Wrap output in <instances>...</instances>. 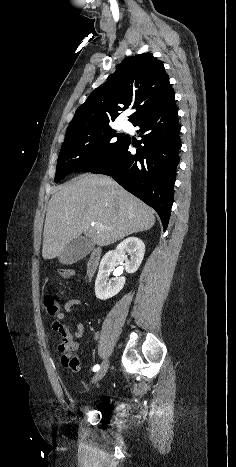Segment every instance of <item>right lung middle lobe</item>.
<instances>
[{
    "instance_id": "dd1d6c3e",
    "label": "right lung middle lobe",
    "mask_w": 236,
    "mask_h": 467,
    "mask_svg": "<svg viewBox=\"0 0 236 467\" xmlns=\"http://www.w3.org/2000/svg\"><path fill=\"white\" fill-rule=\"evenodd\" d=\"M128 138L127 135L116 134L110 126L66 135L57 161L55 182L72 172H89L104 164L124 146Z\"/></svg>"
}]
</instances>
